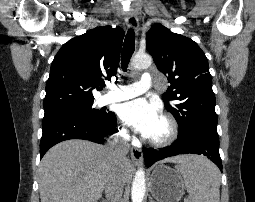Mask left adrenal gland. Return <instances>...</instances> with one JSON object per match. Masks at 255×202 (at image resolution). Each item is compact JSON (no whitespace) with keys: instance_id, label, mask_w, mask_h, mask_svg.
I'll return each instance as SVG.
<instances>
[{"instance_id":"left-adrenal-gland-1","label":"left adrenal gland","mask_w":255,"mask_h":202,"mask_svg":"<svg viewBox=\"0 0 255 202\" xmlns=\"http://www.w3.org/2000/svg\"><path fill=\"white\" fill-rule=\"evenodd\" d=\"M150 202H154V201L152 200V197H150Z\"/></svg>"}]
</instances>
